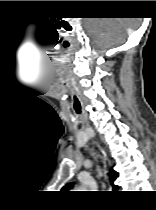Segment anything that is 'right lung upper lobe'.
<instances>
[{
    "label": "right lung upper lobe",
    "instance_id": "1",
    "mask_svg": "<svg viewBox=\"0 0 156 210\" xmlns=\"http://www.w3.org/2000/svg\"><path fill=\"white\" fill-rule=\"evenodd\" d=\"M109 176H110V182L113 185V182L116 180V178H117L118 175H117V173L115 171L111 170L110 173H109ZM113 186L115 188H117V186H115V185H113ZM66 187L67 188H71L72 185L71 184H68V185H66Z\"/></svg>",
    "mask_w": 156,
    "mask_h": 210
}]
</instances>
